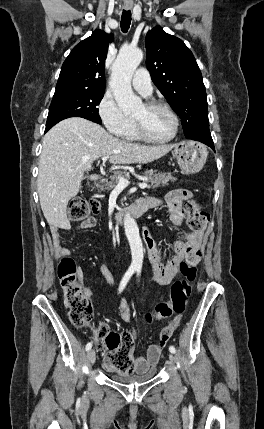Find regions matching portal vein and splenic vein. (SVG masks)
I'll return each instance as SVG.
<instances>
[{"label": "portal vein and splenic vein", "instance_id": "18ae733b", "mask_svg": "<svg viewBox=\"0 0 264 429\" xmlns=\"http://www.w3.org/2000/svg\"><path fill=\"white\" fill-rule=\"evenodd\" d=\"M108 158H109L108 156H104V157H102V160H103V161H106ZM129 184H130V182H129L126 178H124V177H119V180H118V186H119V187L125 188V187H127ZM138 186H139L140 188L144 189V188H146V187L148 186V184H147L146 182H143V183H139V184H138Z\"/></svg>", "mask_w": 264, "mask_h": 429}]
</instances>
